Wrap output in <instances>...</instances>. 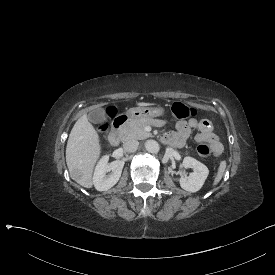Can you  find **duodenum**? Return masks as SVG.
I'll return each instance as SVG.
<instances>
[{
  "label": "duodenum",
  "mask_w": 275,
  "mask_h": 275,
  "mask_svg": "<svg viewBox=\"0 0 275 275\" xmlns=\"http://www.w3.org/2000/svg\"><path fill=\"white\" fill-rule=\"evenodd\" d=\"M127 121L128 117L126 115H120L114 120L112 130L109 134V142L113 146H117L120 143L122 139V130Z\"/></svg>",
  "instance_id": "duodenum-1"
}]
</instances>
